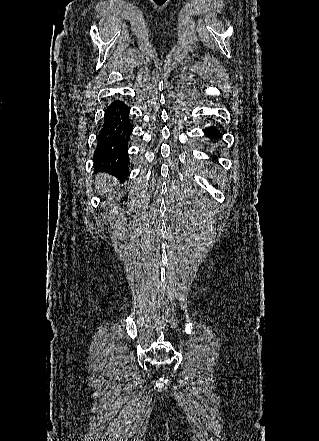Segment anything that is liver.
<instances>
[{
  "label": "liver",
  "mask_w": 319,
  "mask_h": 441,
  "mask_svg": "<svg viewBox=\"0 0 319 441\" xmlns=\"http://www.w3.org/2000/svg\"><path fill=\"white\" fill-rule=\"evenodd\" d=\"M111 179L113 184L111 183ZM97 184L99 185L98 186L99 193L101 194L106 192L110 193L112 191V187L116 185V181L107 174H99L97 175Z\"/></svg>",
  "instance_id": "1"
}]
</instances>
